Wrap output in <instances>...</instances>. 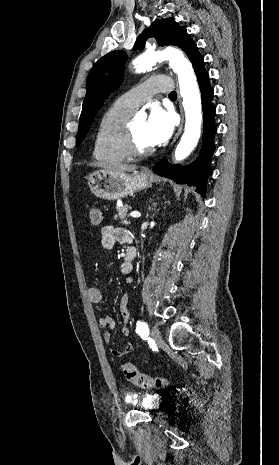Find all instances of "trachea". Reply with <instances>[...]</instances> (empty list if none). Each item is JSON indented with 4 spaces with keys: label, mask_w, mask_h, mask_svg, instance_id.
<instances>
[{
    "label": "trachea",
    "mask_w": 279,
    "mask_h": 465,
    "mask_svg": "<svg viewBox=\"0 0 279 465\" xmlns=\"http://www.w3.org/2000/svg\"><path fill=\"white\" fill-rule=\"evenodd\" d=\"M169 97H170V98H176V92H175V91H172V92L169 94Z\"/></svg>",
    "instance_id": "3493384b"
}]
</instances>
